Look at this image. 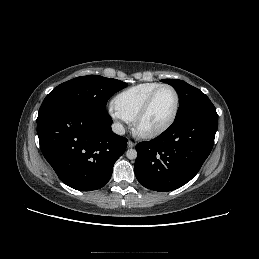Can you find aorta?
Here are the masks:
<instances>
[{
	"label": "aorta",
	"mask_w": 259,
	"mask_h": 259,
	"mask_svg": "<svg viewBox=\"0 0 259 259\" xmlns=\"http://www.w3.org/2000/svg\"><path fill=\"white\" fill-rule=\"evenodd\" d=\"M126 156L128 159H131V160L136 159L137 151L135 149H129L126 152Z\"/></svg>",
	"instance_id": "1"
}]
</instances>
